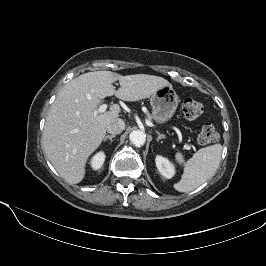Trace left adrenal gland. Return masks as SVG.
<instances>
[{
    "instance_id": "left-adrenal-gland-1",
    "label": "left adrenal gland",
    "mask_w": 266,
    "mask_h": 266,
    "mask_svg": "<svg viewBox=\"0 0 266 266\" xmlns=\"http://www.w3.org/2000/svg\"><path fill=\"white\" fill-rule=\"evenodd\" d=\"M158 137H157V141L161 140V139H164L165 138V135L159 133L158 131H156Z\"/></svg>"
}]
</instances>
